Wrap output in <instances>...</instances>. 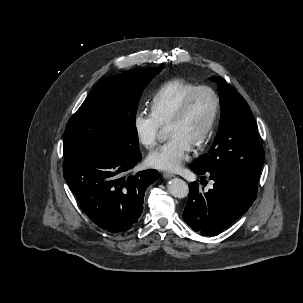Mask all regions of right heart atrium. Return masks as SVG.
Listing matches in <instances>:
<instances>
[{"instance_id": "obj_1", "label": "right heart atrium", "mask_w": 303, "mask_h": 303, "mask_svg": "<svg viewBox=\"0 0 303 303\" xmlns=\"http://www.w3.org/2000/svg\"><path fill=\"white\" fill-rule=\"evenodd\" d=\"M162 125L151 112L138 111L133 117V129L138 141L148 149L158 141Z\"/></svg>"}]
</instances>
